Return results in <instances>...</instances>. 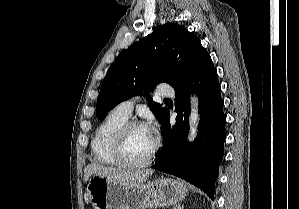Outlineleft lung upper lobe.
Segmentation results:
<instances>
[{
	"mask_svg": "<svg viewBox=\"0 0 299 209\" xmlns=\"http://www.w3.org/2000/svg\"><path fill=\"white\" fill-rule=\"evenodd\" d=\"M210 59L200 40L178 24H164L122 51L109 68L97 98V117L104 116L120 102L161 82L176 87L188 82ZM147 100L162 123L168 109Z\"/></svg>",
	"mask_w": 299,
	"mask_h": 209,
	"instance_id": "5c2ea615",
	"label": "left lung upper lobe"
}]
</instances>
